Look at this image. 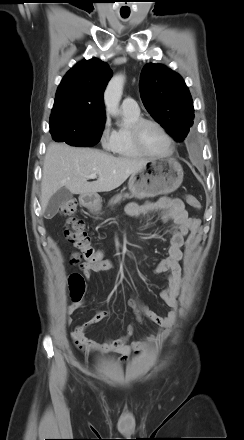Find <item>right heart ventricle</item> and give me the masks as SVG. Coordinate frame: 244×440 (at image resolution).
<instances>
[{"label": "right heart ventricle", "mask_w": 244, "mask_h": 440, "mask_svg": "<svg viewBox=\"0 0 244 440\" xmlns=\"http://www.w3.org/2000/svg\"><path fill=\"white\" fill-rule=\"evenodd\" d=\"M124 116L129 125L127 127L118 128L114 131L110 151L121 157L142 156V154L133 146L129 136V127L133 122L141 118L140 112L136 114L124 112Z\"/></svg>", "instance_id": "right-heart-ventricle-1"}]
</instances>
